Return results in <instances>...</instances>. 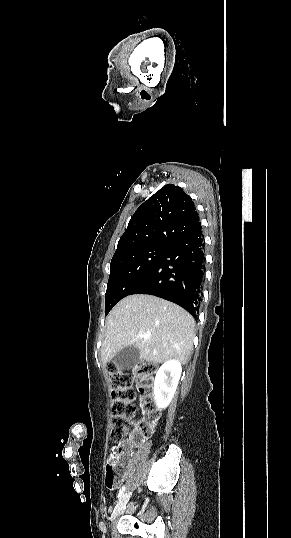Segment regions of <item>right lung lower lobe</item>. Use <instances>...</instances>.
I'll return each mask as SVG.
<instances>
[{
	"label": "right lung lower lobe",
	"instance_id": "obj_1",
	"mask_svg": "<svg viewBox=\"0 0 291 538\" xmlns=\"http://www.w3.org/2000/svg\"><path fill=\"white\" fill-rule=\"evenodd\" d=\"M202 227L164 254L132 294H150L174 302L197 317L205 273Z\"/></svg>",
	"mask_w": 291,
	"mask_h": 538
}]
</instances>
